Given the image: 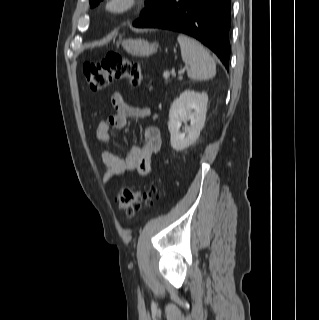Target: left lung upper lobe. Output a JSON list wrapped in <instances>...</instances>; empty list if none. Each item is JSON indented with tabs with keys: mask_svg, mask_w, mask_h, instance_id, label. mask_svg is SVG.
Listing matches in <instances>:
<instances>
[{
	"mask_svg": "<svg viewBox=\"0 0 319 320\" xmlns=\"http://www.w3.org/2000/svg\"><path fill=\"white\" fill-rule=\"evenodd\" d=\"M102 0H90L91 7L96 6ZM161 0H146V8L141 12V17L147 15Z\"/></svg>",
	"mask_w": 319,
	"mask_h": 320,
	"instance_id": "obj_1",
	"label": "left lung upper lobe"
}]
</instances>
